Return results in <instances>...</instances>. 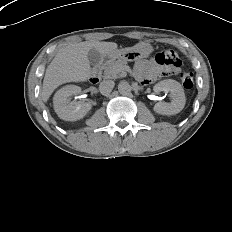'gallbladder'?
Segmentation results:
<instances>
[{
	"label": "gallbladder",
	"instance_id": "bac80fb5",
	"mask_svg": "<svg viewBox=\"0 0 232 232\" xmlns=\"http://www.w3.org/2000/svg\"><path fill=\"white\" fill-rule=\"evenodd\" d=\"M87 57H88L90 64L94 66L98 65L102 58L101 54L94 48L89 50Z\"/></svg>",
	"mask_w": 232,
	"mask_h": 232
}]
</instances>
